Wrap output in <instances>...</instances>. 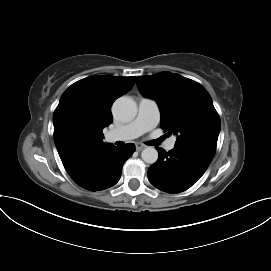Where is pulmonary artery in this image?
<instances>
[{"label":"pulmonary artery","instance_id":"e3ab8cb5","mask_svg":"<svg viewBox=\"0 0 271 271\" xmlns=\"http://www.w3.org/2000/svg\"><path fill=\"white\" fill-rule=\"evenodd\" d=\"M160 120V111L157 103L149 98L139 101L137 117L130 123L109 132L110 140H130L139 137L153 129ZM176 138L171 137L165 144L167 150L175 146Z\"/></svg>","mask_w":271,"mask_h":271}]
</instances>
